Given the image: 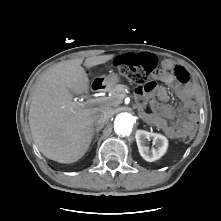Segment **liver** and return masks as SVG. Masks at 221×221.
<instances>
[{
    "label": "liver",
    "instance_id": "liver-1",
    "mask_svg": "<svg viewBox=\"0 0 221 221\" xmlns=\"http://www.w3.org/2000/svg\"><path fill=\"white\" fill-rule=\"evenodd\" d=\"M113 57H89L84 66L92 68ZM82 62L67 60L47 69L36 82L32 95L29 126L34 143L44 156L60 163H73L85 155L93 138L94 116L106 110L73 101V93L89 90Z\"/></svg>",
    "mask_w": 221,
    "mask_h": 221
}]
</instances>
